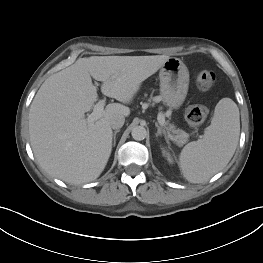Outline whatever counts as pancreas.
I'll return each mask as SVG.
<instances>
[{"label": "pancreas", "instance_id": "pancreas-1", "mask_svg": "<svg viewBox=\"0 0 263 263\" xmlns=\"http://www.w3.org/2000/svg\"><path fill=\"white\" fill-rule=\"evenodd\" d=\"M152 99L156 100L155 97ZM168 129L173 133V138L177 145L181 146L188 141L189 134L186 133L185 131L180 129H175L174 126L172 125H170Z\"/></svg>", "mask_w": 263, "mask_h": 263}]
</instances>
